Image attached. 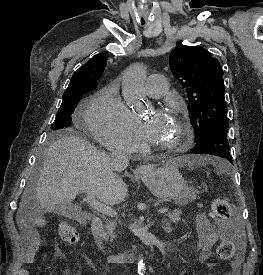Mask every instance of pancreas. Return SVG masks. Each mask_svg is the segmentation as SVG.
<instances>
[{"label":"pancreas","mask_w":263,"mask_h":275,"mask_svg":"<svg viewBox=\"0 0 263 275\" xmlns=\"http://www.w3.org/2000/svg\"><path fill=\"white\" fill-rule=\"evenodd\" d=\"M182 214L181 210H173L172 212L167 213L168 218L172 222H179L180 215ZM116 222L115 221H107L105 225V231L107 237H111V240L116 238L115 229H116Z\"/></svg>","instance_id":"1"}]
</instances>
